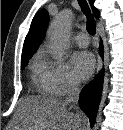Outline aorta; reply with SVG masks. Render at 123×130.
Listing matches in <instances>:
<instances>
[{
    "label": "aorta",
    "instance_id": "762f6f07",
    "mask_svg": "<svg viewBox=\"0 0 123 130\" xmlns=\"http://www.w3.org/2000/svg\"><path fill=\"white\" fill-rule=\"evenodd\" d=\"M73 12L69 9L61 11L53 20L48 30L50 46L54 57L61 58L69 46V30Z\"/></svg>",
    "mask_w": 123,
    "mask_h": 130
}]
</instances>
